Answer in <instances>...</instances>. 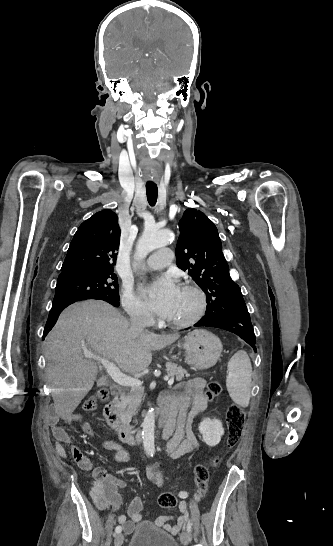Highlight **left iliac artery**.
I'll use <instances>...</instances> for the list:
<instances>
[{
  "mask_svg": "<svg viewBox=\"0 0 333 546\" xmlns=\"http://www.w3.org/2000/svg\"><path fill=\"white\" fill-rule=\"evenodd\" d=\"M179 496H180V497H183L184 494L180 492V493H179ZM191 525H192V523H191V521L189 520V521H188V524H187V531H188V532H191Z\"/></svg>",
  "mask_w": 333,
  "mask_h": 546,
  "instance_id": "obj_1",
  "label": "left iliac artery"
}]
</instances>
